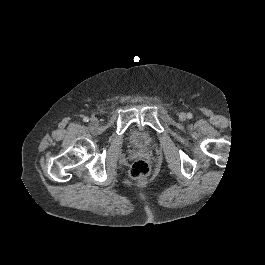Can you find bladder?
<instances>
[{
    "label": "bladder",
    "instance_id": "bladder-1",
    "mask_svg": "<svg viewBox=\"0 0 265 265\" xmlns=\"http://www.w3.org/2000/svg\"><path fill=\"white\" fill-rule=\"evenodd\" d=\"M134 138L136 147H147L149 144L148 136L143 133L137 134Z\"/></svg>",
    "mask_w": 265,
    "mask_h": 265
}]
</instances>
